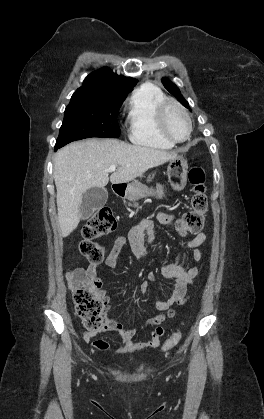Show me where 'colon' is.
Masks as SVG:
<instances>
[{
	"label": "colon",
	"mask_w": 264,
	"mask_h": 419,
	"mask_svg": "<svg viewBox=\"0 0 264 419\" xmlns=\"http://www.w3.org/2000/svg\"><path fill=\"white\" fill-rule=\"evenodd\" d=\"M188 178L193 186L191 209L175 222L176 229L182 235L201 231L207 211L203 169L193 166L189 171ZM115 228L116 220L110 210L103 208L97 211L82 229L84 238L80 243L82 255L91 263H100L103 260L104 252L94 239L111 233ZM66 278L73 295L76 312L82 319L84 327L91 332L101 330L104 325L103 313L107 304L93 280L82 270L69 271ZM181 336L180 331L174 332L164 342L162 350L167 352L172 349L180 341Z\"/></svg>",
	"instance_id": "colon-1"
}]
</instances>
